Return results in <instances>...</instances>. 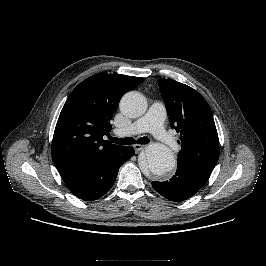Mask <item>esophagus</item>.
Returning a JSON list of instances; mask_svg holds the SVG:
<instances>
[{
  "label": "esophagus",
  "instance_id": "1",
  "mask_svg": "<svg viewBox=\"0 0 266 266\" xmlns=\"http://www.w3.org/2000/svg\"><path fill=\"white\" fill-rule=\"evenodd\" d=\"M133 148H134L135 152H139V151L143 150L145 148V146L144 145H140V144H135L133 146Z\"/></svg>",
  "mask_w": 266,
  "mask_h": 266
}]
</instances>
